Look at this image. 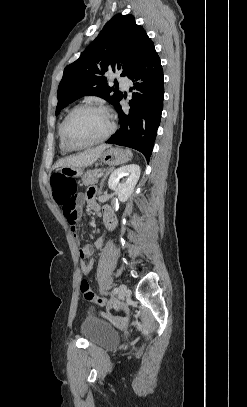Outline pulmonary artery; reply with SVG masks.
Here are the masks:
<instances>
[{
	"mask_svg": "<svg viewBox=\"0 0 247 407\" xmlns=\"http://www.w3.org/2000/svg\"><path fill=\"white\" fill-rule=\"evenodd\" d=\"M118 82L120 83V85H122L124 88H128V86L130 85V80L125 77V76H120L118 77Z\"/></svg>",
	"mask_w": 247,
	"mask_h": 407,
	"instance_id": "pulmonary-artery-1",
	"label": "pulmonary artery"
}]
</instances>
